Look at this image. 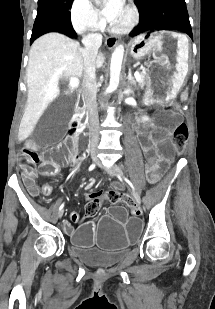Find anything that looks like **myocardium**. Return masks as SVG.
Listing matches in <instances>:
<instances>
[{
    "label": "myocardium",
    "instance_id": "myocardium-1",
    "mask_svg": "<svg viewBox=\"0 0 215 309\" xmlns=\"http://www.w3.org/2000/svg\"><path fill=\"white\" fill-rule=\"evenodd\" d=\"M125 20L123 19H108L107 25L110 26L111 31H115L116 34H130V31L135 28L138 24V21L135 19V10L126 9ZM105 26L106 28L108 26Z\"/></svg>",
    "mask_w": 215,
    "mask_h": 309
}]
</instances>
